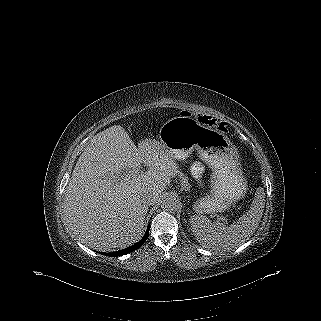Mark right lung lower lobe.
I'll list each match as a JSON object with an SVG mask.
<instances>
[{
	"mask_svg": "<svg viewBox=\"0 0 321 321\" xmlns=\"http://www.w3.org/2000/svg\"><path fill=\"white\" fill-rule=\"evenodd\" d=\"M148 234H149V226H148L147 231H146L145 235L143 236V238L138 243H136L135 245H133V246H131L129 248L117 251V252L101 253V254L106 255V256H114V257H116V256H122V255L130 253L132 251H135L136 249H138L139 247H141L144 244V242L147 240Z\"/></svg>",
	"mask_w": 321,
	"mask_h": 321,
	"instance_id": "right-lung-lower-lobe-1",
	"label": "right lung lower lobe"
}]
</instances>
